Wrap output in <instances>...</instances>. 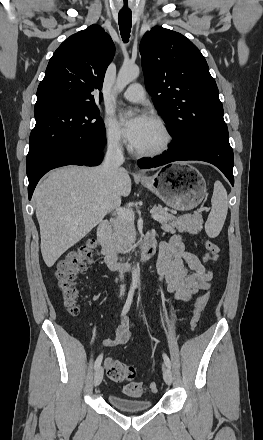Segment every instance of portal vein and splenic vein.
Wrapping results in <instances>:
<instances>
[{
	"label": "portal vein and splenic vein",
	"instance_id": "1",
	"mask_svg": "<svg viewBox=\"0 0 263 440\" xmlns=\"http://www.w3.org/2000/svg\"><path fill=\"white\" fill-rule=\"evenodd\" d=\"M116 213L121 218L129 219V220H132V221L134 219V213L131 210H129V209L119 207V208L116 209ZM151 216L156 221H165V220H167L166 217H163V216L155 213L154 211L151 212Z\"/></svg>",
	"mask_w": 263,
	"mask_h": 440
}]
</instances>
